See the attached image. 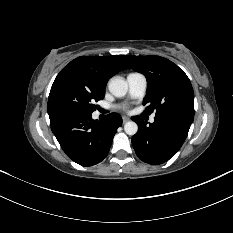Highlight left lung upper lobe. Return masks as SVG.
Wrapping results in <instances>:
<instances>
[{"instance_id":"1","label":"left lung upper lobe","mask_w":233,"mask_h":233,"mask_svg":"<svg viewBox=\"0 0 233 233\" xmlns=\"http://www.w3.org/2000/svg\"><path fill=\"white\" fill-rule=\"evenodd\" d=\"M123 59L135 71L145 75L147 93L144 113L169 115L188 122L194 119V92L187 75L176 64L160 56H129Z\"/></svg>"}]
</instances>
